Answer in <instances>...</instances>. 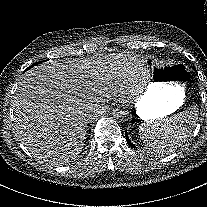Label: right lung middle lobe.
Wrapping results in <instances>:
<instances>
[{
    "label": "right lung middle lobe",
    "mask_w": 207,
    "mask_h": 207,
    "mask_svg": "<svg viewBox=\"0 0 207 207\" xmlns=\"http://www.w3.org/2000/svg\"><path fill=\"white\" fill-rule=\"evenodd\" d=\"M39 63H41V62H37V63L33 64V65H32L31 67H29L28 69L32 68L33 66H35V65H37V64H39Z\"/></svg>",
    "instance_id": "right-lung-middle-lobe-1"
}]
</instances>
